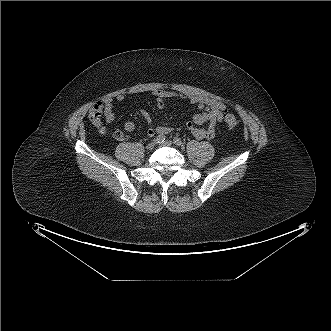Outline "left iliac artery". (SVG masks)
<instances>
[{
    "label": "left iliac artery",
    "mask_w": 331,
    "mask_h": 331,
    "mask_svg": "<svg viewBox=\"0 0 331 331\" xmlns=\"http://www.w3.org/2000/svg\"><path fill=\"white\" fill-rule=\"evenodd\" d=\"M173 141H174V144H176L177 146H183V142H182V140L180 138L175 137L173 139Z\"/></svg>",
    "instance_id": "1"
}]
</instances>
